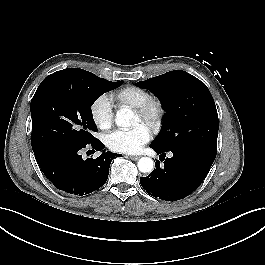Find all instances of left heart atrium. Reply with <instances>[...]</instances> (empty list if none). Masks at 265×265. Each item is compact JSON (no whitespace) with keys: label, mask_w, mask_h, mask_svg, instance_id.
Segmentation results:
<instances>
[{"label":"left heart atrium","mask_w":265,"mask_h":265,"mask_svg":"<svg viewBox=\"0 0 265 265\" xmlns=\"http://www.w3.org/2000/svg\"><path fill=\"white\" fill-rule=\"evenodd\" d=\"M149 128L139 124L129 130H115L105 137L108 148L115 152L133 154L140 151L142 146L150 140Z\"/></svg>","instance_id":"39dd6f15"}]
</instances>
